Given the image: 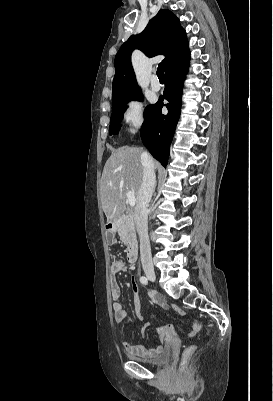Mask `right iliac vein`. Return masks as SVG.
<instances>
[{
	"instance_id": "1",
	"label": "right iliac vein",
	"mask_w": 273,
	"mask_h": 401,
	"mask_svg": "<svg viewBox=\"0 0 273 401\" xmlns=\"http://www.w3.org/2000/svg\"><path fill=\"white\" fill-rule=\"evenodd\" d=\"M143 270L150 281H155L156 276L154 272V267L152 265L146 264L143 266Z\"/></svg>"
}]
</instances>
